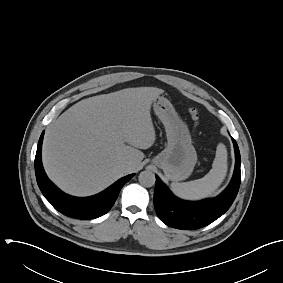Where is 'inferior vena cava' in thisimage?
Returning a JSON list of instances; mask_svg holds the SVG:
<instances>
[{
	"label": "inferior vena cava",
	"instance_id": "inferior-vena-cava-1",
	"mask_svg": "<svg viewBox=\"0 0 283 283\" xmlns=\"http://www.w3.org/2000/svg\"><path fill=\"white\" fill-rule=\"evenodd\" d=\"M129 166H130V163H129V162H125V163H123V164L121 165V168L124 169V170H126V169L129 168Z\"/></svg>",
	"mask_w": 283,
	"mask_h": 283
}]
</instances>
